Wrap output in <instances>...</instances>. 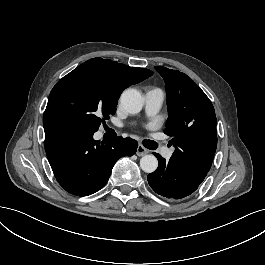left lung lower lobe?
<instances>
[{"label":"left lung lower lobe","mask_w":265,"mask_h":265,"mask_svg":"<svg viewBox=\"0 0 265 265\" xmlns=\"http://www.w3.org/2000/svg\"><path fill=\"white\" fill-rule=\"evenodd\" d=\"M153 154L158 159V168L147 179L157 194L169 199H182L197 190L203 182L178 163L166 161L157 153Z\"/></svg>","instance_id":"obj_1"}]
</instances>
